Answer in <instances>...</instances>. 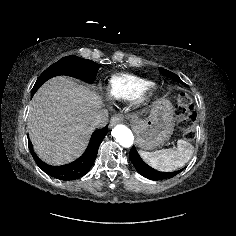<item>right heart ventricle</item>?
I'll list each match as a JSON object with an SVG mask.
<instances>
[{
  "label": "right heart ventricle",
  "instance_id": "1",
  "mask_svg": "<svg viewBox=\"0 0 236 236\" xmlns=\"http://www.w3.org/2000/svg\"><path fill=\"white\" fill-rule=\"evenodd\" d=\"M152 85L150 81L138 76L117 74L109 79L107 94L116 100L132 101L143 96Z\"/></svg>",
  "mask_w": 236,
  "mask_h": 236
}]
</instances>
